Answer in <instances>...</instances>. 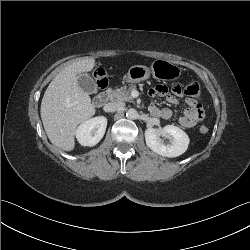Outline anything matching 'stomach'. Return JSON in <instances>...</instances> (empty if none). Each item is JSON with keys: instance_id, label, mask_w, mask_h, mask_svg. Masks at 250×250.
<instances>
[{"instance_id": "0dacf381", "label": "stomach", "mask_w": 250, "mask_h": 250, "mask_svg": "<svg viewBox=\"0 0 250 250\" xmlns=\"http://www.w3.org/2000/svg\"><path fill=\"white\" fill-rule=\"evenodd\" d=\"M158 80L173 81L180 78L182 68L164 59L155 60L151 68L144 65H134L129 68L124 79L129 83H139L150 77V75Z\"/></svg>"}]
</instances>
